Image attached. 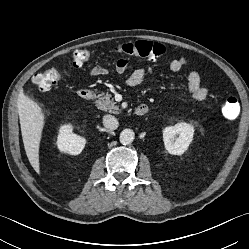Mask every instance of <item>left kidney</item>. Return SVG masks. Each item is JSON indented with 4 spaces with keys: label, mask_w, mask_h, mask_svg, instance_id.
<instances>
[{
    "label": "left kidney",
    "mask_w": 249,
    "mask_h": 249,
    "mask_svg": "<svg viewBox=\"0 0 249 249\" xmlns=\"http://www.w3.org/2000/svg\"><path fill=\"white\" fill-rule=\"evenodd\" d=\"M193 135L194 127L185 122L166 127L163 130V141L166 150L173 155H182L188 149Z\"/></svg>",
    "instance_id": "5707ae66"
}]
</instances>
